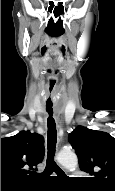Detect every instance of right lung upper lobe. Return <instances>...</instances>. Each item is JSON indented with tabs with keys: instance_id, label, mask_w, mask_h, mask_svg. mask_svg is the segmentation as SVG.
<instances>
[{
	"instance_id": "obj_1",
	"label": "right lung upper lobe",
	"mask_w": 115,
	"mask_h": 191,
	"mask_svg": "<svg viewBox=\"0 0 115 191\" xmlns=\"http://www.w3.org/2000/svg\"><path fill=\"white\" fill-rule=\"evenodd\" d=\"M45 154L44 137L21 131L15 136L1 138V187H24L28 174L41 163Z\"/></svg>"
}]
</instances>
